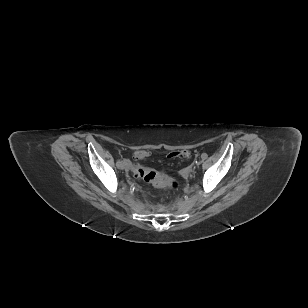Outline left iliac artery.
Listing matches in <instances>:
<instances>
[{
    "label": "left iliac artery",
    "mask_w": 308,
    "mask_h": 308,
    "mask_svg": "<svg viewBox=\"0 0 308 308\" xmlns=\"http://www.w3.org/2000/svg\"><path fill=\"white\" fill-rule=\"evenodd\" d=\"M201 157H202V159H206L207 158V154L203 153Z\"/></svg>",
    "instance_id": "1"
}]
</instances>
